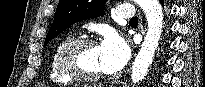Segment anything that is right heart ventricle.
Listing matches in <instances>:
<instances>
[{"label":"right heart ventricle","mask_w":205,"mask_h":87,"mask_svg":"<svg viewBox=\"0 0 205 87\" xmlns=\"http://www.w3.org/2000/svg\"><path fill=\"white\" fill-rule=\"evenodd\" d=\"M72 39H73L72 36L63 37L60 41L57 42L52 52V55L50 58V64H49V77H50L51 82L56 85H67L71 83L72 81V79L66 77L59 70V67L57 64V56H58L60 49Z\"/></svg>","instance_id":"obj_1"}]
</instances>
